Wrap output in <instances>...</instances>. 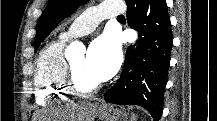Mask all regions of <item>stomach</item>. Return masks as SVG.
<instances>
[{"label":"stomach","mask_w":217,"mask_h":121,"mask_svg":"<svg viewBox=\"0 0 217 121\" xmlns=\"http://www.w3.org/2000/svg\"><path fill=\"white\" fill-rule=\"evenodd\" d=\"M120 117V111L108 104L96 105L94 118H98L99 121H118Z\"/></svg>","instance_id":"obj_1"}]
</instances>
